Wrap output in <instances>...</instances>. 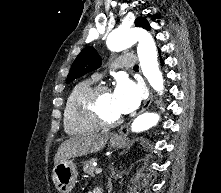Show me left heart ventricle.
Masks as SVG:
<instances>
[{"instance_id": "obj_1", "label": "left heart ventricle", "mask_w": 221, "mask_h": 193, "mask_svg": "<svg viewBox=\"0 0 221 193\" xmlns=\"http://www.w3.org/2000/svg\"><path fill=\"white\" fill-rule=\"evenodd\" d=\"M100 107H101L103 114L109 119H114V118L121 116V114L117 111L114 105L111 90L106 91L101 96Z\"/></svg>"}]
</instances>
